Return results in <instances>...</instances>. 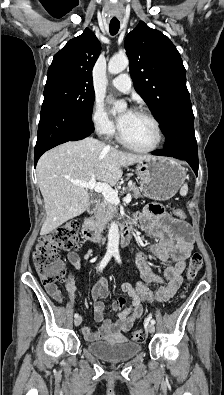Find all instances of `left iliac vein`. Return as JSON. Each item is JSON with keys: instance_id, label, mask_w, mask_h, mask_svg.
I'll use <instances>...</instances> for the list:
<instances>
[{"instance_id": "4c4485c4", "label": "left iliac vein", "mask_w": 224, "mask_h": 395, "mask_svg": "<svg viewBox=\"0 0 224 395\" xmlns=\"http://www.w3.org/2000/svg\"><path fill=\"white\" fill-rule=\"evenodd\" d=\"M147 330H148L150 333H154V331H155V325L152 324V323L148 324V325H147Z\"/></svg>"}]
</instances>
